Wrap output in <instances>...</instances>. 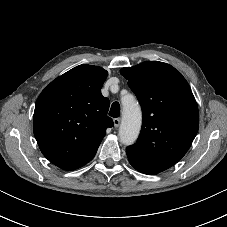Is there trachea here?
<instances>
[{
    "instance_id": "3493384b",
    "label": "trachea",
    "mask_w": 227,
    "mask_h": 227,
    "mask_svg": "<svg viewBox=\"0 0 227 227\" xmlns=\"http://www.w3.org/2000/svg\"><path fill=\"white\" fill-rule=\"evenodd\" d=\"M109 115L111 117L117 118L120 116V104L118 102H114L111 105V109L109 111Z\"/></svg>"
}]
</instances>
